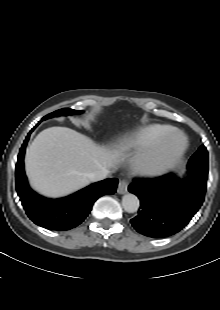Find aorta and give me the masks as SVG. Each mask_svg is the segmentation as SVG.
Here are the masks:
<instances>
[{
    "instance_id": "1",
    "label": "aorta",
    "mask_w": 220,
    "mask_h": 310,
    "mask_svg": "<svg viewBox=\"0 0 220 310\" xmlns=\"http://www.w3.org/2000/svg\"><path fill=\"white\" fill-rule=\"evenodd\" d=\"M122 206L128 213H134L139 208V199L134 194H126L122 198Z\"/></svg>"
}]
</instances>
